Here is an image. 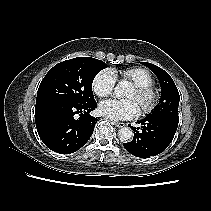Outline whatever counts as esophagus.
<instances>
[{"mask_svg": "<svg viewBox=\"0 0 211 211\" xmlns=\"http://www.w3.org/2000/svg\"><path fill=\"white\" fill-rule=\"evenodd\" d=\"M113 124L117 127V128H123L125 126V123L123 122H113Z\"/></svg>", "mask_w": 211, "mask_h": 211, "instance_id": "1", "label": "esophagus"}]
</instances>
